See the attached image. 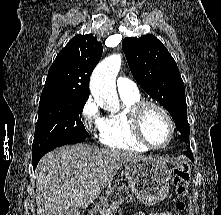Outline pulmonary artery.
Returning <instances> with one entry per match:
<instances>
[{
  "label": "pulmonary artery",
  "instance_id": "pulmonary-artery-1",
  "mask_svg": "<svg viewBox=\"0 0 221 215\" xmlns=\"http://www.w3.org/2000/svg\"><path fill=\"white\" fill-rule=\"evenodd\" d=\"M117 90L120 94L123 93H136L138 92L137 85L132 80L126 77H119L117 79Z\"/></svg>",
  "mask_w": 221,
  "mask_h": 215
}]
</instances>
